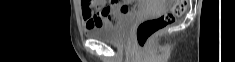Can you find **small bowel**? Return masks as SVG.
Returning a JSON list of instances; mask_svg holds the SVG:
<instances>
[{"label": "small bowel", "instance_id": "c3829d8e", "mask_svg": "<svg viewBox=\"0 0 235 62\" xmlns=\"http://www.w3.org/2000/svg\"><path fill=\"white\" fill-rule=\"evenodd\" d=\"M81 7L87 30L101 27L114 20L118 13H127L133 9L129 2L104 0L97 1L96 9L93 8V2L87 0L81 1Z\"/></svg>", "mask_w": 235, "mask_h": 62}]
</instances>
